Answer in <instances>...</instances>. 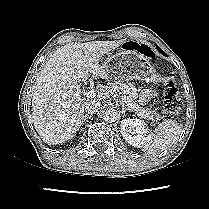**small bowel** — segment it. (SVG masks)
Instances as JSON below:
<instances>
[{"mask_svg":"<svg viewBox=\"0 0 209 209\" xmlns=\"http://www.w3.org/2000/svg\"><path fill=\"white\" fill-rule=\"evenodd\" d=\"M155 96H156V93L153 90L146 89L142 91L140 98L142 101L147 102L151 100L152 98H154Z\"/></svg>","mask_w":209,"mask_h":209,"instance_id":"c3829d8e","label":"small bowel"}]
</instances>
